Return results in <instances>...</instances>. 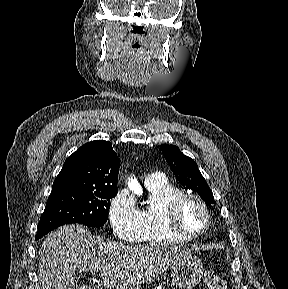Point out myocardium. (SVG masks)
I'll list each match as a JSON object with an SVG mask.
<instances>
[{
    "instance_id": "myocardium-1",
    "label": "myocardium",
    "mask_w": 288,
    "mask_h": 289,
    "mask_svg": "<svg viewBox=\"0 0 288 289\" xmlns=\"http://www.w3.org/2000/svg\"><path fill=\"white\" fill-rule=\"evenodd\" d=\"M189 200L195 201L197 204H199V206L204 211L205 218H206L205 227L197 233L187 232L185 229H183L180 226L179 221H178L179 208L184 202L189 201ZM164 220H165L166 226L173 233L188 240L196 239V238L203 236L211 228V214H210V210L207 204L200 196L193 194V193L182 192L181 194L169 199L164 207Z\"/></svg>"
}]
</instances>
